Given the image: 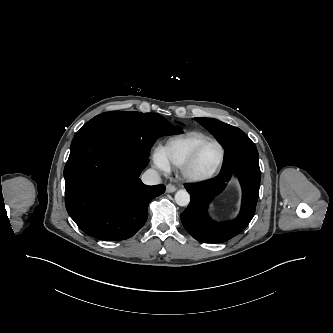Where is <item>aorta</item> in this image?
<instances>
[{
  "label": "aorta",
  "instance_id": "aorta-1",
  "mask_svg": "<svg viewBox=\"0 0 333 333\" xmlns=\"http://www.w3.org/2000/svg\"><path fill=\"white\" fill-rule=\"evenodd\" d=\"M174 198L179 206H187L190 202V195L186 190L177 191Z\"/></svg>",
  "mask_w": 333,
  "mask_h": 333
}]
</instances>
